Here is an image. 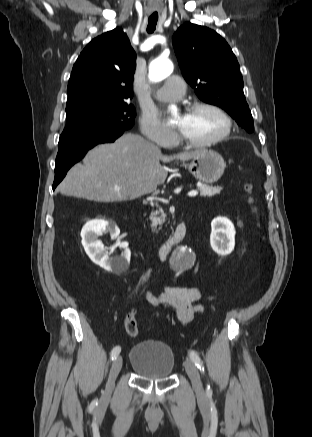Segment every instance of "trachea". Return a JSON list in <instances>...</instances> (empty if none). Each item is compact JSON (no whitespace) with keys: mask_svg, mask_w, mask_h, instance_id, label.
<instances>
[{"mask_svg":"<svg viewBox=\"0 0 312 437\" xmlns=\"http://www.w3.org/2000/svg\"><path fill=\"white\" fill-rule=\"evenodd\" d=\"M157 21H158V14L155 13L149 17L148 26H147V32L149 34L154 32L157 25Z\"/></svg>","mask_w":312,"mask_h":437,"instance_id":"obj_1","label":"trachea"}]
</instances>
